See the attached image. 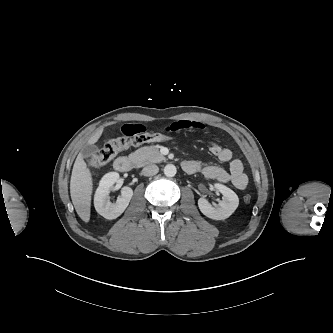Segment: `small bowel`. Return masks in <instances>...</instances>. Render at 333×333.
<instances>
[{"label":"small bowel","instance_id":"1","mask_svg":"<svg viewBox=\"0 0 333 333\" xmlns=\"http://www.w3.org/2000/svg\"><path fill=\"white\" fill-rule=\"evenodd\" d=\"M147 128L141 124L128 123L124 124L121 131L126 136H137L145 133ZM164 130L167 133L179 134H201L206 138L213 140L215 134L201 123L193 121H176L166 126ZM211 153L222 162H229V168L225 169L216 165H203L196 160H187L183 162V168L188 173L200 172L205 177L219 182H231L234 187L239 190L246 188L248 184V176L244 171V166L241 160L233 159L232 151L229 148L222 147L213 142L210 146Z\"/></svg>","mask_w":333,"mask_h":333}]
</instances>
